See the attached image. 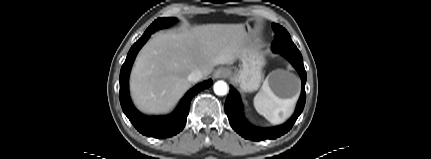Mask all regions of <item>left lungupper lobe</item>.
I'll list each match as a JSON object with an SVG mask.
<instances>
[{"label": "left lung upper lobe", "mask_w": 431, "mask_h": 159, "mask_svg": "<svg viewBox=\"0 0 431 159\" xmlns=\"http://www.w3.org/2000/svg\"><path fill=\"white\" fill-rule=\"evenodd\" d=\"M272 28L275 32V39L272 43V50L274 52H299L285 28L275 23L272 24Z\"/></svg>", "instance_id": "obj_1"}]
</instances>
